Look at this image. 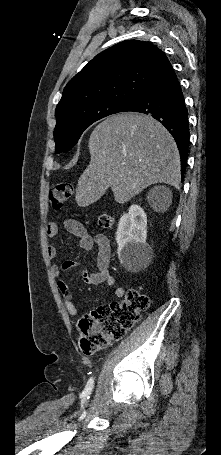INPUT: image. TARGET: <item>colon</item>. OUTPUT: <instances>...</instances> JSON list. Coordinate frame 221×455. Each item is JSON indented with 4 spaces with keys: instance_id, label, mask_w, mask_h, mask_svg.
I'll return each mask as SVG.
<instances>
[{
    "instance_id": "colon-1",
    "label": "colon",
    "mask_w": 221,
    "mask_h": 455,
    "mask_svg": "<svg viewBox=\"0 0 221 455\" xmlns=\"http://www.w3.org/2000/svg\"><path fill=\"white\" fill-rule=\"evenodd\" d=\"M73 192L74 187L69 182L56 184L49 193L52 209L61 210ZM113 222V217L108 214H102L98 218V224L102 228L111 227ZM148 306L149 298L146 295L130 290L123 301L100 306L84 315L78 323L81 350L84 353H93L104 349L110 341L122 339Z\"/></svg>"
}]
</instances>
